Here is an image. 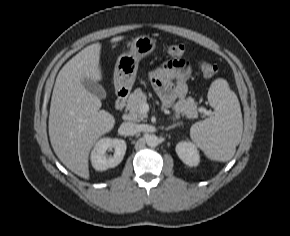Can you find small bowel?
<instances>
[{
	"mask_svg": "<svg viewBox=\"0 0 290 236\" xmlns=\"http://www.w3.org/2000/svg\"><path fill=\"white\" fill-rule=\"evenodd\" d=\"M190 76L191 68L178 60L168 61L151 73V82L165 108H170L176 101H184Z\"/></svg>",
	"mask_w": 290,
	"mask_h": 236,
	"instance_id": "c3829d8e",
	"label": "small bowel"
}]
</instances>
